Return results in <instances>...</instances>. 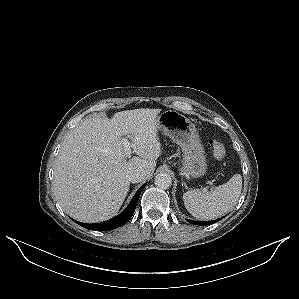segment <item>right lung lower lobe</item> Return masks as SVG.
<instances>
[{"mask_svg":"<svg viewBox=\"0 0 299 299\" xmlns=\"http://www.w3.org/2000/svg\"><path fill=\"white\" fill-rule=\"evenodd\" d=\"M145 186H146V183L135 193L133 199L131 200V202L129 203L127 208L118 216H116L110 220H107V221H104L101 223H95V224H86V223H82L79 221H75V222L86 229L95 230V231H108V230H112V229H115L117 227L124 225L132 217V215L135 211L138 199L140 197V194Z\"/></svg>","mask_w":299,"mask_h":299,"instance_id":"right-lung-lower-lobe-1","label":"right lung lower lobe"}]
</instances>
